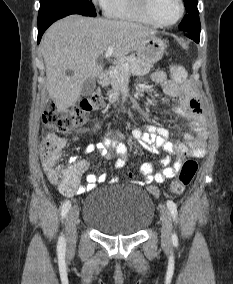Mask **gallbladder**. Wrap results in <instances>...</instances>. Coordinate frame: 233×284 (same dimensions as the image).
<instances>
[{"label":"gallbladder","mask_w":233,"mask_h":284,"mask_svg":"<svg viewBox=\"0 0 233 284\" xmlns=\"http://www.w3.org/2000/svg\"><path fill=\"white\" fill-rule=\"evenodd\" d=\"M96 88V80L95 78H88L82 85L81 96H90L94 93Z\"/></svg>","instance_id":"bac80fb5"}]
</instances>
